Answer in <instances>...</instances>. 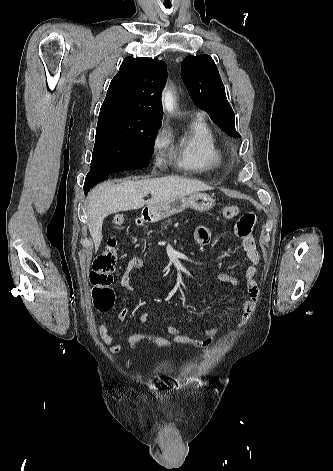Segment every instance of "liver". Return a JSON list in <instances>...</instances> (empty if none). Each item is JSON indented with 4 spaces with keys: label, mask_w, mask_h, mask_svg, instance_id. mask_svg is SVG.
I'll list each match as a JSON object with an SVG mask.
<instances>
[{
    "label": "liver",
    "mask_w": 333,
    "mask_h": 471,
    "mask_svg": "<svg viewBox=\"0 0 333 471\" xmlns=\"http://www.w3.org/2000/svg\"><path fill=\"white\" fill-rule=\"evenodd\" d=\"M212 188L207 184L179 176H166L140 181H125L114 184L110 181L97 186L88 197L87 216L88 228L93 239L95 251L102 240V224L112 214L127 210H135L169 201L173 198L186 196ZM152 197L145 201L147 194Z\"/></svg>",
    "instance_id": "6515ba94"
}]
</instances>
